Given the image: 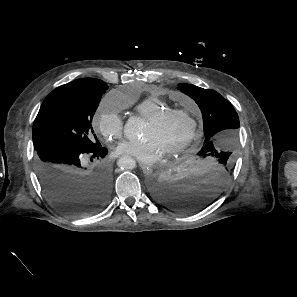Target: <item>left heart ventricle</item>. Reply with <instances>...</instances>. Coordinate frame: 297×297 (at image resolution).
Listing matches in <instances>:
<instances>
[{"mask_svg":"<svg viewBox=\"0 0 297 297\" xmlns=\"http://www.w3.org/2000/svg\"><path fill=\"white\" fill-rule=\"evenodd\" d=\"M190 127V122L184 116L170 117L157 125L146 121L142 137L156 140L165 153L186 139Z\"/></svg>","mask_w":297,"mask_h":297,"instance_id":"obj_1","label":"left heart ventricle"}]
</instances>
